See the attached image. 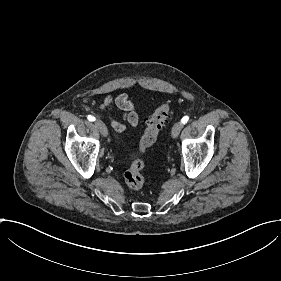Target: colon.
Returning a JSON list of instances; mask_svg holds the SVG:
<instances>
[{"label":"colon","instance_id":"1","mask_svg":"<svg viewBox=\"0 0 281 281\" xmlns=\"http://www.w3.org/2000/svg\"><path fill=\"white\" fill-rule=\"evenodd\" d=\"M171 112L172 104L169 100L162 101L153 110L139 140L138 149L141 152L146 153L157 143L161 129L169 119ZM144 169V160L142 158H135L123 175L124 184L130 189H140L145 183Z\"/></svg>","mask_w":281,"mask_h":281}]
</instances>
